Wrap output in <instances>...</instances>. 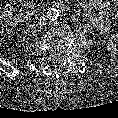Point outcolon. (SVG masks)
I'll list each match as a JSON object with an SVG mask.
<instances>
[{
  "mask_svg": "<svg viewBox=\"0 0 118 118\" xmlns=\"http://www.w3.org/2000/svg\"><path fill=\"white\" fill-rule=\"evenodd\" d=\"M30 11V0H6L1 20L4 24H9L15 18L29 15Z\"/></svg>",
  "mask_w": 118,
  "mask_h": 118,
  "instance_id": "5ec220e1",
  "label": "colon"
}]
</instances>
